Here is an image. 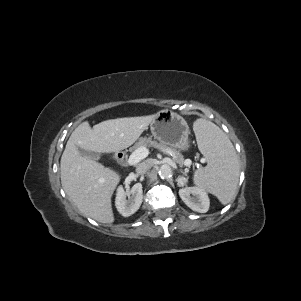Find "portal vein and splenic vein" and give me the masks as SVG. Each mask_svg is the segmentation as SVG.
<instances>
[{"instance_id":"portal-vein-and-splenic-vein-1","label":"portal vein and splenic vein","mask_w":301,"mask_h":301,"mask_svg":"<svg viewBox=\"0 0 301 301\" xmlns=\"http://www.w3.org/2000/svg\"><path fill=\"white\" fill-rule=\"evenodd\" d=\"M149 155V150L146 147L136 149L128 158L129 165H135Z\"/></svg>"}]
</instances>
